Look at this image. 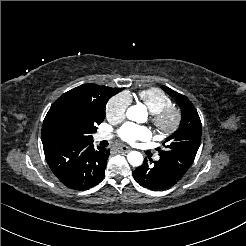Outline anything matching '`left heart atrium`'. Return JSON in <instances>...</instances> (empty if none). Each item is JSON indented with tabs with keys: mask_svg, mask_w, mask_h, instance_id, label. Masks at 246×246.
Here are the masks:
<instances>
[{
	"mask_svg": "<svg viewBox=\"0 0 246 246\" xmlns=\"http://www.w3.org/2000/svg\"><path fill=\"white\" fill-rule=\"evenodd\" d=\"M119 136L124 141L134 144L137 141L149 139L151 137V131L147 127L128 122L120 128Z\"/></svg>",
	"mask_w": 246,
	"mask_h": 246,
	"instance_id": "left-heart-atrium-1",
	"label": "left heart atrium"
}]
</instances>
